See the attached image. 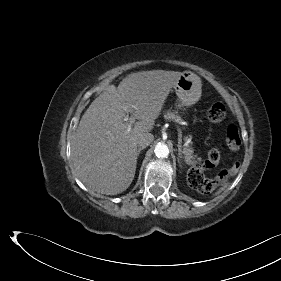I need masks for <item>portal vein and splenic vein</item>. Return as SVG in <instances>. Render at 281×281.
<instances>
[{
  "label": "portal vein and splenic vein",
  "instance_id": "obj_1",
  "mask_svg": "<svg viewBox=\"0 0 281 281\" xmlns=\"http://www.w3.org/2000/svg\"><path fill=\"white\" fill-rule=\"evenodd\" d=\"M127 111H129V107H126L125 108ZM126 121L128 120V122H129V124H128V131H130V129H131V125L135 122V118L133 117V116H131V117H129L128 115H127V117H126V119H125ZM178 131H180L179 129H178ZM180 149V151L183 153V151H184V149H183V151L181 150V148H179Z\"/></svg>",
  "mask_w": 281,
  "mask_h": 281
}]
</instances>
